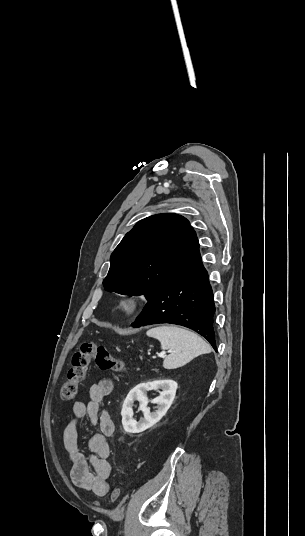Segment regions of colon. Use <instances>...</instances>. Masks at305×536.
Returning <instances> with one entry per match:
<instances>
[{"label":"colon","instance_id":"5ec220e1","mask_svg":"<svg viewBox=\"0 0 305 536\" xmlns=\"http://www.w3.org/2000/svg\"><path fill=\"white\" fill-rule=\"evenodd\" d=\"M91 360L103 370H112L119 373L127 371L126 363L121 359L112 357L107 348L92 341H83L73 353L71 366L68 370V379L62 384L60 390L61 400L70 402L76 395L78 387L85 381L88 366ZM120 495L119 488H113L111 502L115 503Z\"/></svg>","mask_w":305,"mask_h":536}]
</instances>
